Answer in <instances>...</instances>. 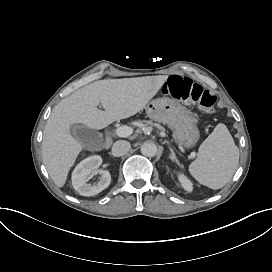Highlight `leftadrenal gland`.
Returning <instances> with one entry per match:
<instances>
[{
	"instance_id": "1",
	"label": "left adrenal gland",
	"mask_w": 272,
	"mask_h": 272,
	"mask_svg": "<svg viewBox=\"0 0 272 272\" xmlns=\"http://www.w3.org/2000/svg\"><path fill=\"white\" fill-rule=\"evenodd\" d=\"M170 151H171L170 159H171L172 161L178 162V159L176 158V155H175V153H174V151H173L172 148H170Z\"/></svg>"
}]
</instances>
